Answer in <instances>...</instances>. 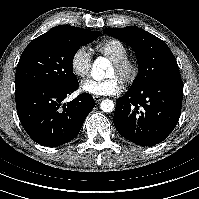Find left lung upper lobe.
<instances>
[{
	"mask_svg": "<svg viewBox=\"0 0 199 199\" xmlns=\"http://www.w3.org/2000/svg\"><path fill=\"white\" fill-rule=\"evenodd\" d=\"M105 33L127 43L136 53L139 74L131 90H138L152 81L180 73L167 44L153 34L137 27L108 28Z\"/></svg>",
	"mask_w": 199,
	"mask_h": 199,
	"instance_id": "1",
	"label": "left lung upper lobe"
}]
</instances>
